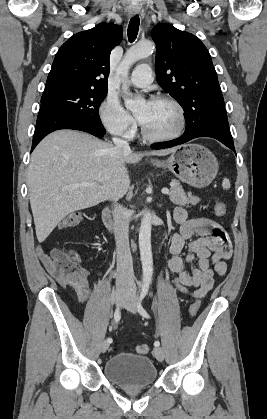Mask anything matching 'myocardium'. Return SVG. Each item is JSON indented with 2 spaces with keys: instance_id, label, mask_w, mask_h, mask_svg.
<instances>
[{
  "instance_id": "myocardium-1",
  "label": "myocardium",
  "mask_w": 267,
  "mask_h": 419,
  "mask_svg": "<svg viewBox=\"0 0 267 419\" xmlns=\"http://www.w3.org/2000/svg\"><path fill=\"white\" fill-rule=\"evenodd\" d=\"M151 101L168 102L171 105H173L178 113L179 122L174 131L165 135L151 134L150 132L146 130V128L142 125V123H140V130H141L142 136L146 140L151 141V142H166V141L174 140L177 137H179L181 133L183 132L186 125L185 110L183 106L181 105V103L178 100H176L174 97L165 95V94L156 95L151 99Z\"/></svg>"
}]
</instances>
